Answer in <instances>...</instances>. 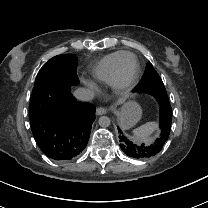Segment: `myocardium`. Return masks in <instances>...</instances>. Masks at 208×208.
<instances>
[{
  "label": "myocardium",
  "mask_w": 208,
  "mask_h": 208,
  "mask_svg": "<svg viewBox=\"0 0 208 208\" xmlns=\"http://www.w3.org/2000/svg\"><path fill=\"white\" fill-rule=\"evenodd\" d=\"M140 69V62L137 58L124 62L117 71L115 87L118 90L131 88L139 77Z\"/></svg>",
  "instance_id": "f54148a6"
}]
</instances>
